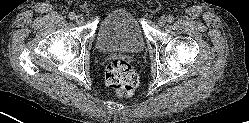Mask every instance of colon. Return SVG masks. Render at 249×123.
I'll return each instance as SVG.
<instances>
[{
  "label": "colon",
  "instance_id": "1",
  "mask_svg": "<svg viewBox=\"0 0 249 123\" xmlns=\"http://www.w3.org/2000/svg\"><path fill=\"white\" fill-rule=\"evenodd\" d=\"M138 82V75L129 61L115 58L108 62L106 84L115 94L121 97L131 96Z\"/></svg>",
  "mask_w": 249,
  "mask_h": 123
}]
</instances>
